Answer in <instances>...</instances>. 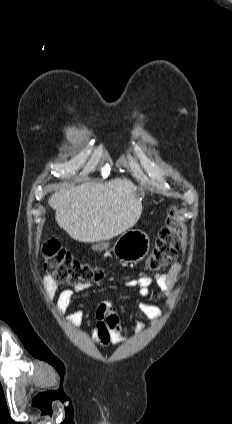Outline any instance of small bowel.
<instances>
[{"label":"small bowel","instance_id":"obj_1","mask_svg":"<svg viewBox=\"0 0 232 424\" xmlns=\"http://www.w3.org/2000/svg\"><path fill=\"white\" fill-rule=\"evenodd\" d=\"M183 265L180 262L172 264L167 273H156L153 277L142 276L129 281V285L137 287L141 297H147L151 293V286L156 287L165 297H169L173 288L179 280ZM91 285L84 283L76 285L73 289L67 288L59 291L57 297V310L59 313H65L71 305L75 293H81L90 289ZM50 293L57 291V285L50 282L48 286ZM139 312L151 321L161 318V309L147 301L139 300L137 302ZM84 311L77 309L67 315V320L72 325L79 324L84 318ZM141 331V326L136 327V332ZM93 340L101 347L109 344L116 345L123 339L122 327L117 310L109 304H103L95 312V325L92 330Z\"/></svg>","mask_w":232,"mask_h":424}]
</instances>
